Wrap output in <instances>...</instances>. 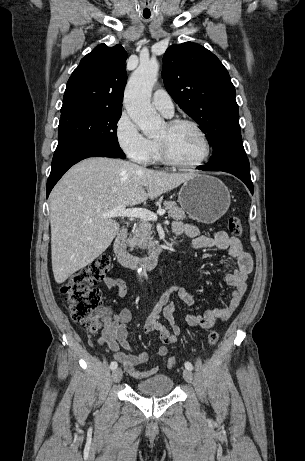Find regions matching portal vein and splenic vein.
Returning a JSON list of instances; mask_svg holds the SVG:
<instances>
[{
	"mask_svg": "<svg viewBox=\"0 0 305 461\" xmlns=\"http://www.w3.org/2000/svg\"><path fill=\"white\" fill-rule=\"evenodd\" d=\"M166 211L164 209H159L157 214L143 208H129L126 209V206H119L113 210H110L101 215V218H115V217H128V218H140L146 221H156L157 215H164Z\"/></svg>",
	"mask_w": 305,
	"mask_h": 461,
	"instance_id": "1",
	"label": "portal vein and splenic vein"
}]
</instances>
